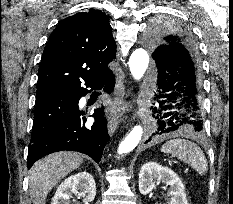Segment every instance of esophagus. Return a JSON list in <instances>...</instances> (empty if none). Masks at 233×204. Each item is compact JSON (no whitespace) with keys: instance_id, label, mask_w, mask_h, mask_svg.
<instances>
[{"instance_id":"1","label":"esophagus","mask_w":233,"mask_h":204,"mask_svg":"<svg viewBox=\"0 0 233 204\" xmlns=\"http://www.w3.org/2000/svg\"><path fill=\"white\" fill-rule=\"evenodd\" d=\"M126 91H125V85L121 77H117L116 79V85L114 90V100H113V106H121L124 102ZM120 122V115L119 114H111L108 121V132L110 136H112L118 127Z\"/></svg>"}]
</instances>
